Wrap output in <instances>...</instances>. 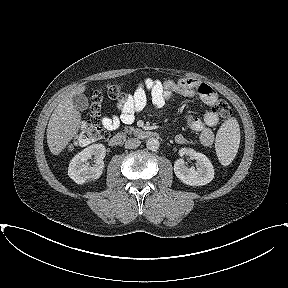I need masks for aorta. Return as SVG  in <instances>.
<instances>
[{
	"label": "aorta",
	"instance_id": "aorta-1",
	"mask_svg": "<svg viewBox=\"0 0 288 288\" xmlns=\"http://www.w3.org/2000/svg\"><path fill=\"white\" fill-rule=\"evenodd\" d=\"M160 143L157 138H149L146 140V147L151 151H156L159 149Z\"/></svg>",
	"mask_w": 288,
	"mask_h": 288
}]
</instances>
